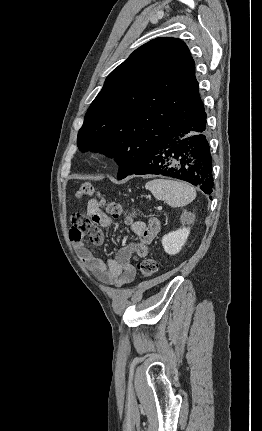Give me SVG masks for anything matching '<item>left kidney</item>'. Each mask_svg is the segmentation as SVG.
<instances>
[{
	"mask_svg": "<svg viewBox=\"0 0 262 431\" xmlns=\"http://www.w3.org/2000/svg\"><path fill=\"white\" fill-rule=\"evenodd\" d=\"M189 233V228H181L164 235L162 238V246L164 251L169 255H175L179 253L182 249V246L185 244Z\"/></svg>",
	"mask_w": 262,
	"mask_h": 431,
	"instance_id": "left-kidney-1",
	"label": "left kidney"
}]
</instances>
